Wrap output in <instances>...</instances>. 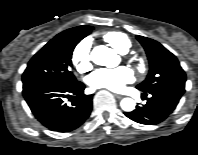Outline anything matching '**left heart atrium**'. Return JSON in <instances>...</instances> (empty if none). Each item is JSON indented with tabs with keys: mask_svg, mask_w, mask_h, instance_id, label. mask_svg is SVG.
I'll return each mask as SVG.
<instances>
[{
	"mask_svg": "<svg viewBox=\"0 0 198 155\" xmlns=\"http://www.w3.org/2000/svg\"><path fill=\"white\" fill-rule=\"evenodd\" d=\"M133 74L125 66L114 69H99L92 73L88 78V83L96 89H109L121 91L126 84L132 82Z\"/></svg>",
	"mask_w": 198,
	"mask_h": 155,
	"instance_id": "left-heart-atrium-1",
	"label": "left heart atrium"
}]
</instances>
